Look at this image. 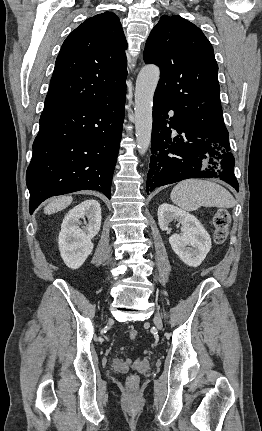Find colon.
<instances>
[{"label":"colon","mask_w":262,"mask_h":431,"mask_svg":"<svg viewBox=\"0 0 262 431\" xmlns=\"http://www.w3.org/2000/svg\"><path fill=\"white\" fill-rule=\"evenodd\" d=\"M231 224L230 214L226 209L219 208L216 210L214 218H213V228H214V241L218 245H222L225 243L229 228ZM129 336L131 339H135L138 337V330L131 329L129 332ZM139 379L137 375H131L128 378V384L130 386L137 385Z\"/></svg>","instance_id":"5ec220e1"}]
</instances>
